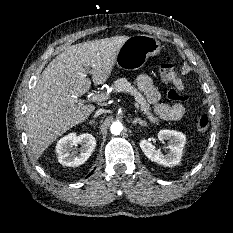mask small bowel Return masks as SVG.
I'll list each match as a JSON object with an SVG mask.
<instances>
[{
	"mask_svg": "<svg viewBox=\"0 0 233 233\" xmlns=\"http://www.w3.org/2000/svg\"><path fill=\"white\" fill-rule=\"evenodd\" d=\"M135 83L138 89L144 93L147 102L153 106L154 113L159 118L169 121H178L185 116L186 109L181 103L169 105L160 102V93L148 75H139ZM175 85L184 90V85L179 78L176 80Z\"/></svg>",
	"mask_w": 233,
	"mask_h": 233,
	"instance_id": "small-bowel-1",
	"label": "small bowel"
}]
</instances>
